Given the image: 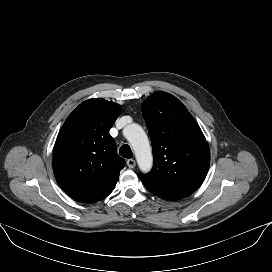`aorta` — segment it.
Returning <instances> with one entry per match:
<instances>
[{"label": "aorta", "instance_id": "1", "mask_svg": "<svg viewBox=\"0 0 272 272\" xmlns=\"http://www.w3.org/2000/svg\"><path fill=\"white\" fill-rule=\"evenodd\" d=\"M124 135L133 147L141 171L149 172L152 168L153 157L148 137L143 128L136 123L129 124L125 128Z\"/></svg>", "mask_w": 272, "mask_h": 272}]
</instances>
